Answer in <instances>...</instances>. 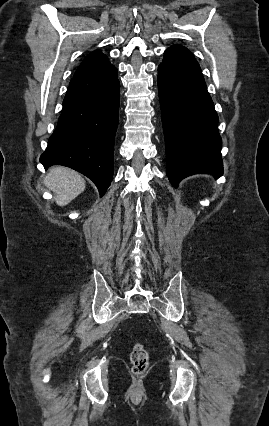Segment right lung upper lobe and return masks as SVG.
I'll return each instance as SVG.
<instances>
[{"label":"right lung upper lobe","mask_w":269,"mask_h":426,"mask_svg":"<svg viewBox=\"0 0 269 426\" xmlns=\"http://www.w3.org/2000/svg\"><path fill=\"white\" fill-rule=\"evenodd\" d=\"M111 66L108 58L100 51H93L85 57L74 76L96 73Z\"/></svg>","instance_id":"right-lung-upper-lobe-1"}]
</instances>
